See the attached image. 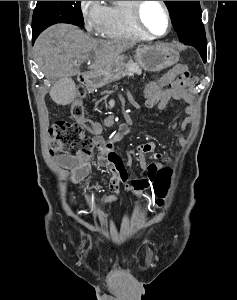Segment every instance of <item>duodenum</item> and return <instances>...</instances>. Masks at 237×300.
<instances>
[{"mask_svg": "<svg viewBox=\"0 0 237 300\" xmlns=\"http://www.w3.org/2000/svg\"><path fill=\"white\" fill-rule=\"evenodd\" d=\"M80 81L89 92H93L100 85L101 75L97 70H87L81 74Z\"/></svg>", "mask_w": 237, "mask_h": 300, "instance_id": "duodenum-1", "label": "duodenum"}]
</instances>
